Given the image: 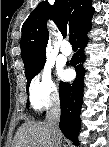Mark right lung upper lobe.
<instances>
[{"mask_svg":"<svg viewBox=\"0 0 109 147\" xmlns=\"http://www.w3.org/2000/svg\"><path fill=\"white\" fill-rule=\"evenodd\" d=\"M91 4V0H55L53 6L41 2L22 26L20 46L25 69L36 66L46 55L48 18L54 20L62 34L69 29L77 36L93 16Z\"/></svg>","mask_w":109,"mask_h":147,"instance_id":"cb5924a9","label":"right lung upper lobe"}]
</instances>
